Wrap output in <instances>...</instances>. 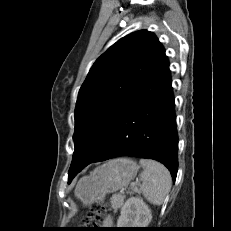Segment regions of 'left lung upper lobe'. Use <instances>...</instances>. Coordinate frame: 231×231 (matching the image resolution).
Wrapping results in <instances>:
<instances>
[{"mask_svg":"<svg viewBox=\"0 0 231 231\" xmlns=\"http://www.w3.org/2000/svg\"><path fill=\"white\" fill-rule=\"evenodd\" d=\"M164 51L147 30L133 32L112 45L91 67L75 108V150L69 173L90 159L110 124Z\"/></svg>","mask_w":231,"mask_h":231,"instance_id":"1","label":"left lung upper lobe"}]
</instances>
